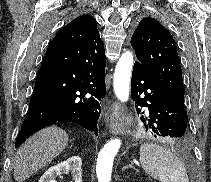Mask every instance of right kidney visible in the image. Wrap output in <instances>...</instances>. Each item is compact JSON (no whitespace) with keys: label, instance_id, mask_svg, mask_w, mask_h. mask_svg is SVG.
<instances>
[{"label":"right kidney","instance_id":"right-kidney-1","mask_svg":"<svg viewBox=\"0 0 211 182\" xmlns=\"http://www.w3.org/2000/svg\"><path fill=\"white\" fill-rule=\"evenodd\" d=\"M82 159L73 156L56 166L50 167L40 178L39 182H57L56 177L71 172L74 182H82Z\"/></svg>","mask_w":211,"mask_h":182}]
</instances>
